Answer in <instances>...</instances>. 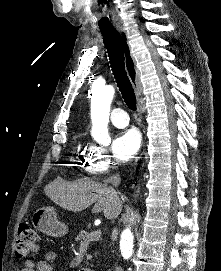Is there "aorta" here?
<instances>
[{
	"label": "aorta",
	"mask_w": 221,
	"mask_h": 271,
	"mask_svg": "<svg viewBox=\"0 0 221 271\" xmlns=\"http://www.w3.org/2000/svg\"><path fill=\"white\" fill-rule=\"evenodd\" d=\"M114 88L111 85L105 86L101 91L93 96L92 119L97 131H106L109 122V112ZM134 236L130 228H126L121 233L120 251L124 259H129L133 254Z\"/></svg>",
	"instance_id": "762f6f07"
}]
</instances>
